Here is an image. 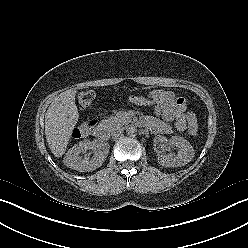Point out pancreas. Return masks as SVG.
I'll list each match as a JSON object with an SVG mask.
<instances>
[{"label": "pancreas", "mask_w": 248, "mask_h": 248, "mask_svg": "<svg viewBox=\"0 0 248 248\" xmlns=\"http://www.w3.org/2000/svg\"><path fill=\"white\" fill-rule=\"evenodd\" d=\"M130 122V117L127 115L126 112L123 111L116 113L115 116H111L107 120H104V124L110 129L128 124Z\"/></svg>", "instance_id": "1"}]
</instances>
